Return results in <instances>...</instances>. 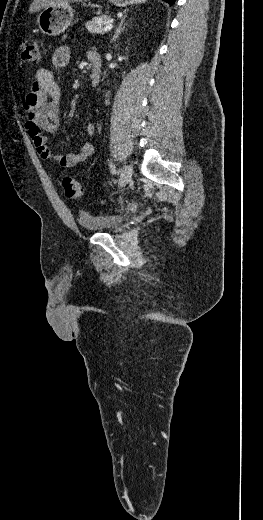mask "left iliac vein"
Instances as JSON below:
<instances>
[{
  "label": "left iliac vein",
  "mask_w": 263,
  "mask_h": 520,
  "mask_svg": "<svg viewBox=\"0 0 263 520\" xmlns=\"http://www.w3.org/2000/svg\"><path fill=\"white\" fill-rule=\"evenodd\" d=\"M132 174H133V170H132V167L129 166V165H124L121 169V175H120V179H119V185L121 187L125 186L126 184H128L130 181H131V178H132Z\"/></svg>",
  "instance_id": "left-iliac-vein-1"
}]
</instances>
